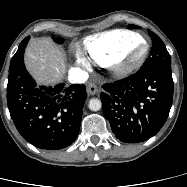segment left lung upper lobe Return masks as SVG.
<instances>
[{"instance_id": "1", "label": "left lung upper lobe", "mask_w": 187, "mask_h": 187, "mask_svg": "<svg viewBox=\"0 0 187 187\" xmlns=\"http://www.w3.org/2000/svg\"><path fill=\"white\" fill-rule=\"evenodd\" d=\"M130 28H139L135 25H129ZM152 38V49L150 56L142 65L141 69H153L159 67H171V57L162 40L153 32L149 31Z\"/></svg>"}]
</instances>
